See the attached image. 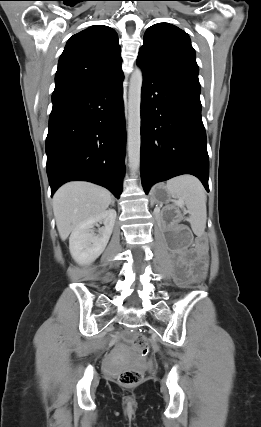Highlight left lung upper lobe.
I'll use <instances>...</instances> for the list:
<instances>
[{
    "instance_id": "1",
    "label": "left lung upper lobe",
    "mask_w": 261,
    "mask_h": 427,
    "mask_svg": "<svg viewBox=\"0 0 261 427\" xmlns=\"http://www.w3.org/2000/svg\"><path fill=\"white\" fill-rule=\"evenodd\" d=\"M137 60L198 80L195 51L188 34L169 23H158L146 30Z\"/></svg>"
}]
</instances>
